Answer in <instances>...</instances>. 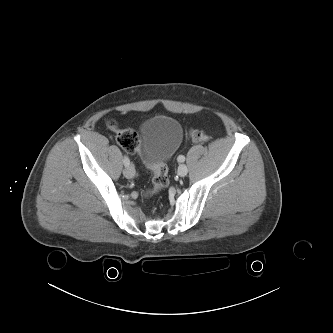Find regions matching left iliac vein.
Wrapping results in <instances>:
<instances>
[{"label":"left iliac vein","instance_id":"left-iliac-vein-1","mask_svg":"<svg viewBox=\"0 0 333 333\" xmlns=\"http://www.w3.org/2000/svg\"><path fill=\"white\" fill-rule=\"evenodd\" d=\"M177 172H178L179 176L184 177L188 173V168L185 164H180L179 167H178Z\"/></svg>","mask_w":333,"mask_h":333}]
</instances>
